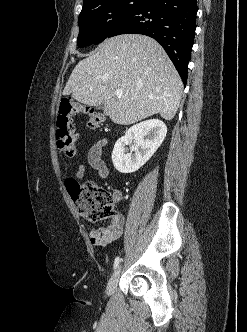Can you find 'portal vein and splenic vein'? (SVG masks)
Here are the masks:
<instances>
[{"label":"portal vein and splenic vein","instance_id":"obj_1","mask_svg":"<svg viewBox=\"0 0 247 332\" xmlns=\"http://www.w3.org/2000/svg\"><path fill=\"white\" fill-rule=\"evenodd\" d=\"M115 95L118 96V97H120V96L123 95V91L121 89H116L115 90Z\"/></svg>","mask_w":247,"mask_h":332}]
</instances>
